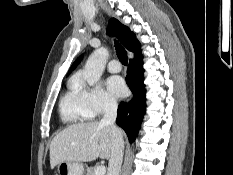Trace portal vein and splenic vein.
<instances>
[{
  "mask_svg": "<svg viewBox=\"0 0 233 175\" xmlns=\"http://www.w3.org/2000/svg\"><path fill=\"white\" fill-rule=\"evenodd\" d=\"M106 172V168L104 165H101V166H98L96 169H95V175H104Z\"/></svg>",
  "mask_w": 233,
  "mask_h": 175,
  "instance_id": "portal-vein-and-splenic-vein-1",
  "label": "portal vein and splenic vein"
}]
</instances>
